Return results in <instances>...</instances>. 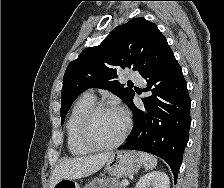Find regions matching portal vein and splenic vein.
Returning a JSON list of instances; mask_svg holds the SVG:
<instances>
[{
  "mask_svg": "<svg viewBox=\"0 0 224 188\" xmlns=\"http://www.w3.org/2000/svg\"><path fill=\"white\" fill-rule=\"evenodd\" d=\"M122 184H123L124 186H127V185L129 184V182H128V180H122Z\"/></svg>",
  "mask_w": 224,
  "mask_h": 188,
  "instance_id": "1",
  "label": "portal vein and splenic vein"
}]
</instances>
